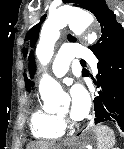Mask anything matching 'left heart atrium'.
Segmentation results:
<instances>
[{
  "mask_svg": "<svg viewBox=\"0 0 124 149\" xmlns=\"http://www.w3.org/2000/svg\"><path fill=\"white\" fill-rule=\"evenodd\" d=\"M70 117L73 120H82L89 113L91 100L83 85L76 83L70 89Z\"/></svg>",
  "mask_w": 124,
  "mask_h": 149,
  "instance_id": "39dd6f15",
  "label": "left heart atrium"
}]
</instances>
